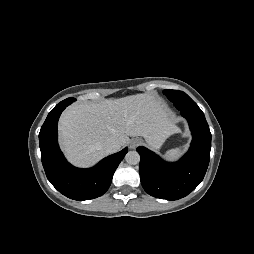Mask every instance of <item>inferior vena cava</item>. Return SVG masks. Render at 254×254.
<instances>
[{"label":"inferior vena cava","instance_id":"1","mask_svg":"<svg viewBox=\"0 0 254 254\" xmlns=\"http://www.w3.org/2000/svg\"><path fill=\"white\" fill-rule=\"evenodd\" d=\"M119 149H120V144L113 141V142L108 143L105 146V153L106 154H111V153H114V152L118 151Z\"/></svg>","mask_w":254,"mask_h":254}]
</instances>
